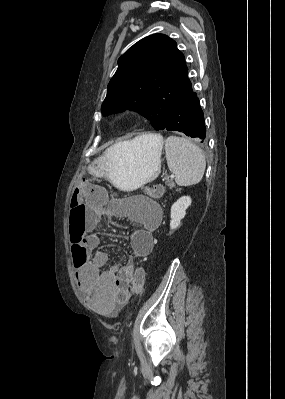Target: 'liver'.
<instances>
[{
    "label": "liver",
    "instance_id": "6515ba94",
    "mask_svg": "<svg viewBox=\"0 0 285 399\" xmlns=\"http://www.w3.org/2000/svg\"><path fill=\"white\" fill-rule=\"evenodd\" d=\"M144 136H147V135H142V136H139V137H144Z\"/></svg>",
    "mask_w": 285,
    "mask_h": 399
}]
</instances>
